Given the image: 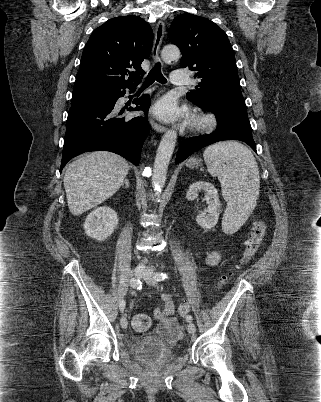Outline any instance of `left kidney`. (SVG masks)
Here are the masks:
<instances>
[{
	"label": "left kidney",
	"mask_w": 321,
	"mask_h": 402,
	"mask_svg": "<svg viewBox=\"0 0 321 402\" xmlns=\"http://www.w3.org/2000/svg\"><path fill=\"white\" fill-rule=\"evenodd\" d=\"M201 191L205 192V200L208 201V207L204 211H199V214L196 217V222L203 229L210 230L217 224L219 215L222 211L219 195L217 189L211 183L197 181L190 185L186 193V198L193 201L198 198L199 192Z\"/></svg>",
	"instance_id": "5707ae66"
}]
</instances>
